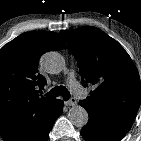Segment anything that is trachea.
<instances>
[{"label": "trachea", "mask_w": 141, "mask_h": 141, "mask_svg": "<svg viewBox=\"0 0 141 141\" xmlns=\"http://www.w3.org/2000/svg\"><path fill=\"white\" fill-rule=\"evenodd\" d=\"M63 96V100L67 101L70 98V92L67 90L66 87L60 85L52 88L48 93L47 96L49 97H58Z\"/></svg>", "instance_id": "3493384b"}]
</instances>
